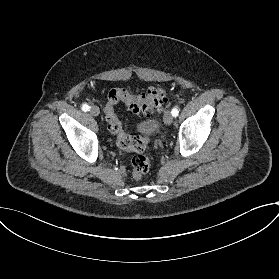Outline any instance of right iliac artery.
I'll return each instance as SVG.
<instances>
[{
	"label": "right iliac artery",
	"instance_id": "1",
	"mask_svg": "<svg viewBox=\"0 0 279 279\" xmlns=\"http://www.w3.org/2000/svg\"><path fill=\"white\" fill-rule=\"evenodd\" d=\"M89 109H90V107L87 104H84L83 107H82V110L85 111V112L89 111Z\"/></svg>",
	"mask_w": 279,
	"mask_h": 279
}]
</instances>
